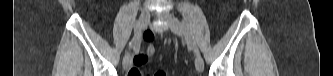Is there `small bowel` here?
<instances>
[{"label": "small bowel", "instance_id": "obj_1", "mask_svg": "<svg viewBox=\"0 0 333 76\" xmlns=\"http://www.w3.org/2000/svg\"><path fill=\"white\" fill-rule=\"evenodd\" d=\"M143 40H144V42H153L154 41V36L153 35H149L148 33H145L144 37H143ZM153 52H154L153 46L152 45H148L146 47V51L144 53L138 54V55H136L134 57L135 64L137 66L142 65L146 61L147 55H150ZM134 69H136L137 71L141 72L138 67H135Z\"/></svg>", "mask_w": 333, "mask_h": 76}]
</instances>
